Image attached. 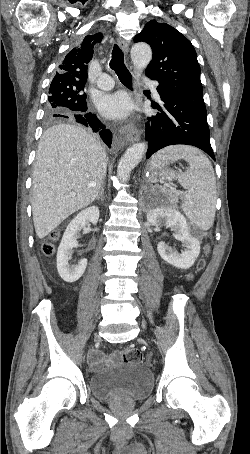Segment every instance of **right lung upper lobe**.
<instances>
[{"mask_svg": "<svg viewBox=\"0 0 250 454\" xmlns=\"http://www.w3.org/2000/svg\"><path fill=\"white\" fill-rule=\"evenodd\" d=\"M102 34L88 35L66 56L50 86L74 87L85 85L87 67L94 53V46L102 40Z\"/></svg>", "mask_w": 250, "mask_h": 454, "instance_id": "cb5924a9", "label": "right lung upper lobe"}]
</instances>
